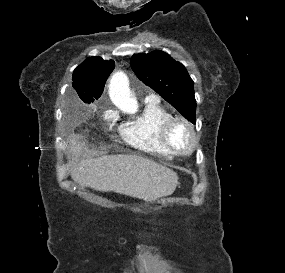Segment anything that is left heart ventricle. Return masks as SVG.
<instances>
[{
  "mask_svg": "<svg viewBox=\"0 0 285 273\" xmlns=\"http://www.w3.org/2000/svg\"><path fill=\"white\" fill-rule=\"evenodd\" d=\"M171 140L177 147L185 148L190 143V136L186 128L183 125L178 124L171 132Z\"/></svg>",
  "mask_w": 285,
  "mask_h": 273,
  "instance_id": "obj_1",
  "label": "left heart ventricle"
}]
</instances>
